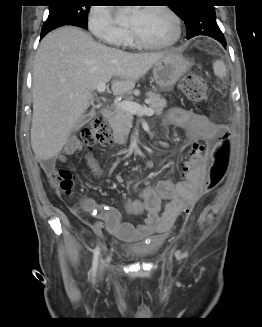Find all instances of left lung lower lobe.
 I'll return each instance as SVG.
<instances>
[{"mask_svg": "<svg viewBox=\"0 0 262 327\" xmlns=\"http://www.w3.org/2000/svg\"><path fill=\"white\" fill-rule=\"evenodd\" d=\"M197 35H207L219 41L224 47L226 46V40L220 28H218L217 30L215 28L213 30H204V31L196 30L192 34L187 35V38L190 39Z\"/></svg>", "mask_w": 262, "mask_h": 327, "instance_id": "0a47b994", "label": "left lung lower lobe"}]
</instances>
